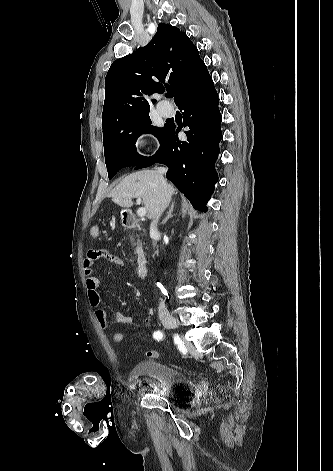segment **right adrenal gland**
<instances>
[{
	"label": "right adrenal gland",
	"instance_id": "2a0ac1e0",
	"mask_svg": "<svg viewBox=\"0 0 333 471\" xmlns=\"http://www.w3.org/2000/svg\"><path fill=\"white\" fill-rule=\"evenodd\" d=\"M174 206H175V202H172L171 206H170V209L167 213V216L165 217V219L163 220V224H165L170 218L173 217L172 215V212H173V209H174Z\"/></svg>",
	"mask_w": 333,
	"mask_h": 471
}]
</instances>
